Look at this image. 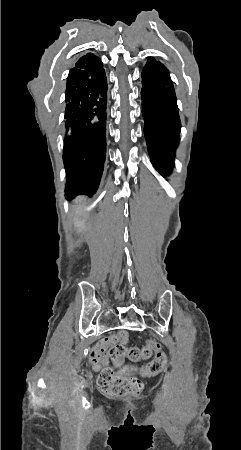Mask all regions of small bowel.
Returning a JSON list of instances; mask_svg holds the SVG:
<instances>
[{
	"instance_id": "c3829d8e",
	"label": "small bowel",
	"mask_w": 241,
	"mask_h": 450,
	"mask_svg": "<svg viewBox=\"0 0 241 450\" xmlns=\"http://www.w3.org/2000/svg\"><path fill=\"white\" fill-rule=\"evenodd\" d=\"M112 341H120L121 344H126L128 342V332L125 329H122L118 335H112L109 338L100 341L97 346L90 352L89 362L94 365L96 369H99L101 365L108 364V347L111 345Z\"/></svg>"
}]
</instances>
